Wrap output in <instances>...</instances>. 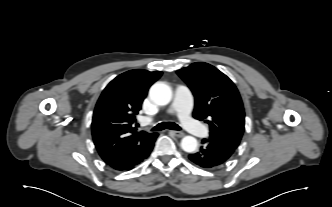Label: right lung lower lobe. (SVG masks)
Segmentation results:
<instances>
[{"label":"right lung lower lobe","instance_id":"obj_1","mask_svg":"<svg viewBox=\"0 0 332 207\" xmlns=\"http://www.w3.org/2000/svg\"><path fill=\"white\" fill-rule=\"evenodd\" d=\"M157 136H158V134H157L156 137L153 139V141H152V143H151V146L148 148V150H147V152L144 154V156H143V157H142L137 163L131 165L130 167H128V168H126V169H124V170L127 171V170H131V169H133V168L135 167V165L141 163L145 158H147V157L149 156L150 152H151L152 149H153V144H154V142H155ZM121 171H122V170H121Z\"/></svg>","mask_w":332,"mask_h":207}]
</instances>
